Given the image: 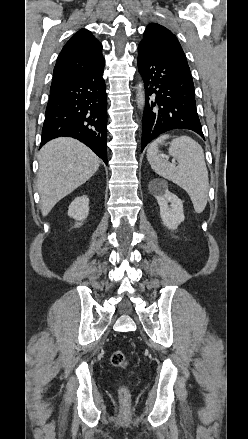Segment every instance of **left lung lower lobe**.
<instances>
[{"instance_id": "obj_1", "label": "left lung lower lobe", "mask_w": 248, "mask_h": 439, "mask_svg": "<svg viewBox=\"0 0 248 439\" xmlns=\"http://www.w3.org/2000/svg\"><path fill=\"white\" fill-rule=\"evenodd\" d=\"M137 64L145 86L141 151L173 129H189L204 138L189 66L142 44L138 46Z\"/></svg>"}]
</instances>
